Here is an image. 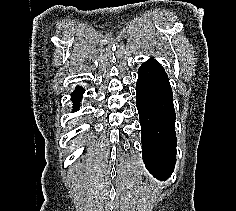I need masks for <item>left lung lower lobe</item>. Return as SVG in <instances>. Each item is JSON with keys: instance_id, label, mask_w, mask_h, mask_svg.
I'll return each instance as SVG.
<instances>
[{"instance_id": "left-lung-lower-lobe-1", "label": "left lung lower lobe", "mask_w": 236, "mask_h": 211, "mask_svg": "<svg viewBox=\"0 0 236 211\" xmlns=\"http://www.w3.org/2000/svg\"><path fill=\"white\" fill-rule=\"evenodd\" d=\"M136 96L145 166L153 176L165 180L176 162V116L168 76L153 58L138 70Z\"/></svg>"}]
</instances>
